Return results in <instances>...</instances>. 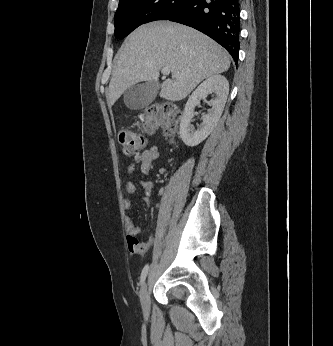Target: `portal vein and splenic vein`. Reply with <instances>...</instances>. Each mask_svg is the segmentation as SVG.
<instances>
[{"instance_id":"portal-vein-and-splenic-vein-1","label":"portal vein and splenic vein","mask_w":333,"mask_h":346,"mask_svg":"<svg viewBox=\"0 0 333 346\" xmlns=\"http://www.w3.org/2000/svg\"><path fill=\"white\" fill-rule=\"evenodd\" d=\"M163 75H169L170 74V69L168 67H164L161 70ZM178 77V75H176Z\"/></svg>"}]
</instances>
